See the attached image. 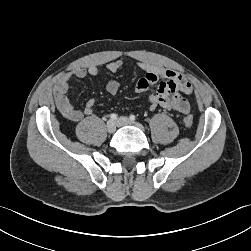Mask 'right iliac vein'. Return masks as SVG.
Returning a JSON list of instances; mask_svg holds the SVG:
<instances>
[{
  "instance_id": "1",
  "label": "right iliac vein",
  "mask_w": 251,
  "mask_h": 251,
  "mask_svg": "<svg viewBox=\"0 0 251 251\" xmlns=\"http://www.w3.org/2000/svg\"><path fill=\"white\" fill-rule=\"evenodd\" d=\"M117 122L115 120H109L106 125L108 133H114L116 131Z\"/></svg>"
}]
</instances>
